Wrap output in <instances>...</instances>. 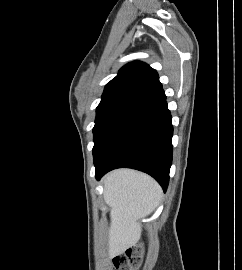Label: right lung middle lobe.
<instances>
[{
	"label": "right lung middle lobe",
	"instance_id": "1",
	"mask_svg": "<svg viewBox=\"0 0 242 270\" xmlns=\"http://www.w3.org/2000/svg\"><path fill=\"white\" fill-rule=\"evenodd\" d=\"M137 106L131 104H111L96 109L95 126L93 128L94 160L116 134L120 126Z\"/></svg>",
	"mask_w": 242,
	"mask_h": 270
}]
</instances>
